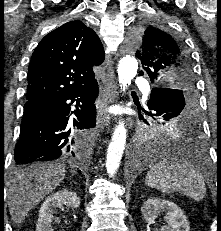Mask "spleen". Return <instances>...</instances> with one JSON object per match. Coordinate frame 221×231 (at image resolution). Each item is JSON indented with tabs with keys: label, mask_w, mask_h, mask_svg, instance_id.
<instances>
[{
	"label": "spleen",
	"mask_w": 221,
	"mask_h": 231,
	"mask_svg": "<svg viewBox=\"0 0 221 231\" xmlns=\"http://www.w3.org/2000/svg\"><path fill=\"white\" fill-rule=\"evenodd\" d=\"M145 183L164 194L182 193L196 201L205 197L206 186L199 170L176 158L162 159L147 172Z\"/></svg>",
	"instance_id": "spleen-1"
}]
</instances>
